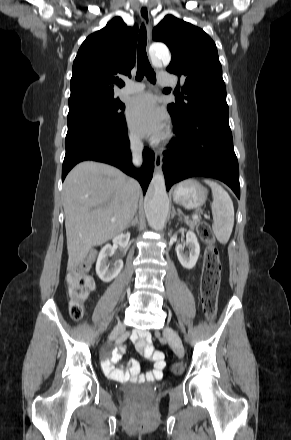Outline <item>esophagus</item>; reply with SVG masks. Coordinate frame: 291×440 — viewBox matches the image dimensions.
Returning <instances> with one entry per match:
<instances>
[{
  "mask_svg": "<svg viewBox=\"0 0 291 440\" xmlns=\"http://www.w3.org/2000/svg\"><path fill=\"white\" fill-rule=\"evenodd\" d=\"M139 15L140 18L142 20V22L144 23L147 32H148V37H149V30H150V12H149V6L147 4L141 5L139 8ZM155 170H159L161 168L162 165V155L160 153H156L155 154Z\"/></svg>",
  "mask_w": 291,
  "mask_h": 440,
  "instance_id": "1",
  "label": "esophagus"
}]
</instances>
